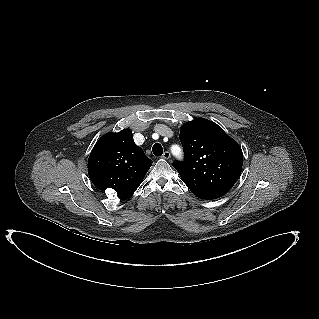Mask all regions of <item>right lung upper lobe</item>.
<instances>
[{"label": "right lung upper lobe", "instance_id": "obj_1", "mask_svg": "<svg viewBox=\"0 0 319 319\" xmlns=\"http://www.w3.org/2000/svg\"><path fill=\"white\" fill-rule=\"evenodd\" d=\"M152 161L134 143L130 130L102 136L91 151L88 174L99 190L111 188L129 199L139 187Z\"/></svg>", "mask_w": 319, "mask_h": 319}]
</instances>
